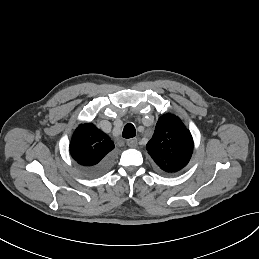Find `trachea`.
I'll use <instances>...</instances> for the list:
<instances>
[{"mask_svg": "<svg viewBox=\"0 0 259 259\" xmlns=\"http://www.w3.org/2000/svg\"><path fill=\"white\" fill-rule=\"evenodd\" d=\"M135 135H136L135 127L130 123L127 124L123 129L122 136L128 139V138L135 137Z\"/></svg>", "mask_w": 259, "mask_h": 259, "instance_id": "obj_1", "label": "trachea"}]
</instances>
